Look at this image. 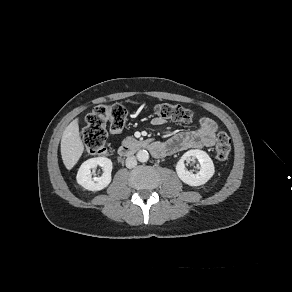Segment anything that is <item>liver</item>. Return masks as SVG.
<instances>
[{"label":"liver","instance_id":"obj_1","mask_svg":"<svg viewBox=\"0 0 292 292\" xmlns=\"http://www.w3.org/2000/svg\"><path fill=\"white\" fill-rule=\"evenodd\" d=\"M84 151L80 138L78 119H74L64 130L61 139V156L65 167L71 170Z\"/></svg>","mask_w":292,"mask_h":292}]
</instances>
